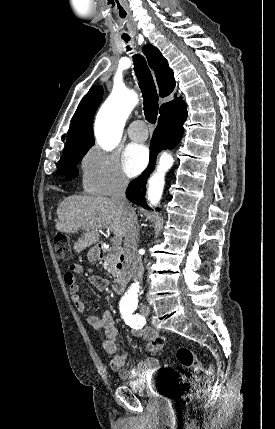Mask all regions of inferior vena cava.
<instances>
[{"mask_svg":"<svg viewBox=\"0 0 275 429\" xmlns=\"http://www.w3.org/2000/svg\"><path fill=\"white\" fill-rule=\"evenodd\" d=\"M127 186V178L121 176L113 189L112 200L119 206L126 220L124 251L129 271L134 279L141 280L144 267L141 257L137 255L139 224L136 212L125 195Z\"/></svg>","mask_w":275,"mask_h":429,"instance_id":"inferior-vena-cava-1","label":"inferior vena cava"}]
</instances>
